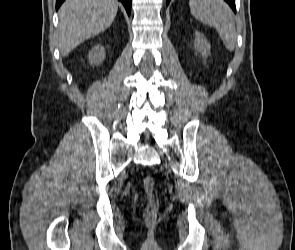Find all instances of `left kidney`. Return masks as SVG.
Segmentation results:
<instances>
[{
  "instance_id": "5707ae66",
  "label": "left kidney",
  "mask_w": 295,
  "mask_h": 250,
  "mask_svg": "<svg viewBox=\"0 0 295 250\" xmlns=\"http://www.w3.org/2000/svg\"><path fill=\"white\" fill-rule=\"evenodd\" d=\"M195 48L198 52L202 54L204 57H208L210 53L211 45L206 39V37L201 34L200 32H195V41H194Z\"/></svg>"
}]
</instances>
